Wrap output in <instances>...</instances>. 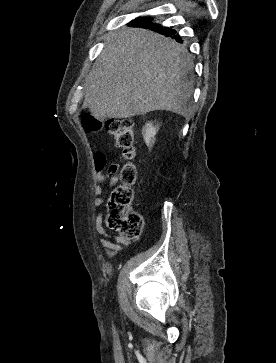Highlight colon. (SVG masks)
<instances>
[{"instance_id":"1","label":"colon","mask_w":276,"mask_h":363,"mask_svg":"<svg viewBox=\"0 0 276 363\" xmlns=\"http://www.w3.org/2000/svg\"><path fill=\"white\" fill-rule=\"evenodd\" d=\"M85 127L89 131H99L103 128L112 135L116 144L122 149L124 158L130 160L135 156L134 123L130 119H115L105 124L88 118ZM137 171L132 163H126L119 173L120 184L116 186L107 202L106 225L124 238L139 236L144 227V220L139 212L132 210L133 189Z\"/></svg>"}]
</instances>
